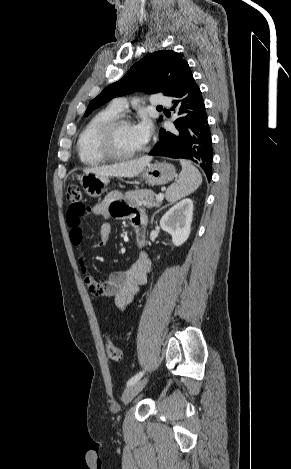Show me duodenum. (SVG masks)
Wrapping results in <instances>:
<instances>
[{
  "instance_id": "duodenum-1",
  "label": "duodenum",
  "mask_w": 291,
  "mask_h": 469,
  "mask_svg": "<svg viewBox=\"0 0 291 469\" xmlns=\"http://www.w3.org/2000/svg\"><path fill=\"white\" fill-rule=\"evenodd\" d=\"M135 231L137 244L141 247L145 242V231L141 228H135Z\"/></svg>"
}]
</instances>
